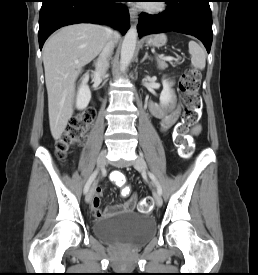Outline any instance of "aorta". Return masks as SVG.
Returning a JSON list of instances; mask_svg holds the SVG:
<instances>
[{
	"instance_id": "aorta-1",
	"label": "aorta",
	"mask_w": 258,
	"mask_h": 275,
	"mask_svg": "<svg viewBox=\"0 0 258 275\" xmlns=\"http://www.w3.org/2000/svg\"><path fill=\"white\" fill-rule=\"evenodd\" d=\"M138 32L136 27H131L123 40L121 47L120 66L125 69L131 62L136 48Z\"/></svg>"
}]
</instances>
